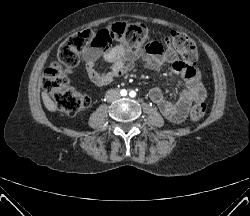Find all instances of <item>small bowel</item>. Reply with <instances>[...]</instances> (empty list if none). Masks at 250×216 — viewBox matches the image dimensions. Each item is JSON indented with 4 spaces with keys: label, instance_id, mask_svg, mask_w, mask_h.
Wrapping results in <instances>:
<instances>
[{
    "label": "small bowel",
    "instance_id": "1",
    "mask_svg": "<svg viewBox=\"0 0 250 216\" xmlns=\"http://www.w3.org/2000/svg\"><path fill=\"white\" fill-rule=\"evenodd\" d=\"M83 60L90 81L98 86L108 85L138 64L155 71L161 70L166 64L170 65L172 74L180 75L185 80V87L180 91L177 101L167 100L160 88L151 89L149 97L163 116L173 123L182 122L191 105L204 101L206 97V90L196 68L180 60L177 52L164 39L151 40L141 48H128L123 45L106 49L90 47L84 51ZM101 61L110 63V69L98 71L96 66Z\"/></svg>",
    "mask_w": 250,
    "mask_h": 216
}]
</instances>
